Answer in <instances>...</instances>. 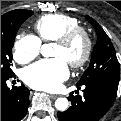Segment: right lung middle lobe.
I'll use <instances>...</instances> for the list:
<instances>
[{
  "mask_svg": "<svg viewBox=\"0 0 121 121\" xmlns=\"http://www.w3.org/2000/svg\"><path fill=\"white\" fill-rule=\"evenodd\" d=\"M31 15L33 12L30 10H17L8 17L1 18V75L3 76L14 74L11 65L15 36L22 23Z\"/></svg>",
  "mask_w": 121,
  "mask_h": 121,
  "instance_id": "obj_1",
  "label": "right lung middle lobe"
}]
</instances>
